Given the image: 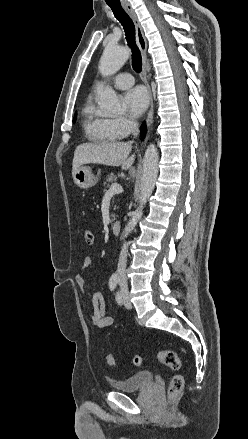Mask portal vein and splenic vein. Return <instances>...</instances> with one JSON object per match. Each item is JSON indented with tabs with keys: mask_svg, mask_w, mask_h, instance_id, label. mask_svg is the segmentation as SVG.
Instances as JSON below:
<instances>
[{
	"mask_svg": "<svg viewBox=\"0 0 248 439\" xmlns=\"http://www.w3.org/2000/svg\"><path fill=\"white\" fill-rule=\"evenodd\" d=\"M123 192V188L120 184L114 183L110 186L109 190L107 191V193L109 194H119Z\"/></svg>",
	"mask_w": 248,
	"mask_h": 439,
	"instance_id": "obj_1",
	"label": "portal vein and splenic vein"
}]
</instances>
